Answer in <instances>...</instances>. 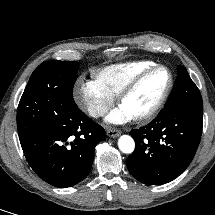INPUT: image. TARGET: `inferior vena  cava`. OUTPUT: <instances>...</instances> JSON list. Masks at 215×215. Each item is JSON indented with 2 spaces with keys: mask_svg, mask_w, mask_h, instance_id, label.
I'll return each mask as SVG.
<instances>
[{
  "mask_svg": "<svg viewBox=\"0 0 215 215\" xmlns=\"http://www.w3.org/2000/svg\"><path fill=\"white\" fill-rule=\"evenodd\" d=\"M105 114V111L103 110H94L92 112V116L94 117H100V116H103Z\"/></svg>",
  "mask_w": 215,
  "mask_h": 215,
  "instance_id": "1",
  "label": "inferior vena cava"
}]
</instances>
